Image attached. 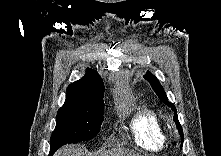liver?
Listing matches in <instances>:
<instances>
[{
    "label": "liver",
    "mask_w": 221,
    "mask_h": 156,
    "mask_svg": "<svg viewBox=\"0 0 221 156\" xmlns=\"http://www.w3.org/2000/svg\"><path fill=\"white\" fill-rule=\"evenodd\" d=\"M55 156H85V153L76 146H66L63 149L59 150ZM87 156V154H86ZM88 156H141L139 153H136L129 149L115 148L96 154L89 153Z\"/></svg>",
    "instance_id": "obj_1"
}]
</instances>
